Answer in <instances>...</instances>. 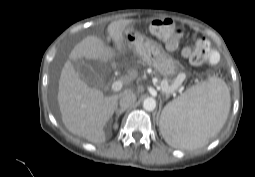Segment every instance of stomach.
<instances>
[{
	"label": "stomach",
	"mask_w": 255,
	"mask_h": 177,
	"mask_svg": "<svg viewBox=\"0 0 255 177\" xmlns=\"http://www.w3.org/2000/svg\"><path fill=\"white\" fill-rule=\"evenodd\" d=\"M123 42L140 59L153 66L163 76H173L178 72V62L168 55L161 45L148 39L133 27L126 29Z\"/></svg>",
	"instance_id": "stomach-1"
}]
</instances>
